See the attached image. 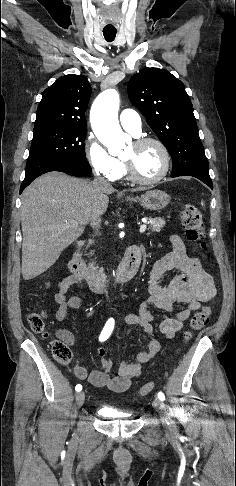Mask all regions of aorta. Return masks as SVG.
I'll list each match as a JSON object with an SVG mask.
<instances>
[{
    "label": "aorta",
    "instance_id": "obj_1",
    "mask_svg": "<svg viewBox=\"0 0 236 486\" xmlns=\"http://www.w3.org/2000/svg\"><path fill=\"white\" fill-rule=\"evenodd\" d=\"M119 104L118 92L115 89H107L97 97L90 113L92 129L111 155H117L130 139L118 122Z\"/></svg>",
    "mask_w": 236,
    "mask_h": 486
}]
</instances>
